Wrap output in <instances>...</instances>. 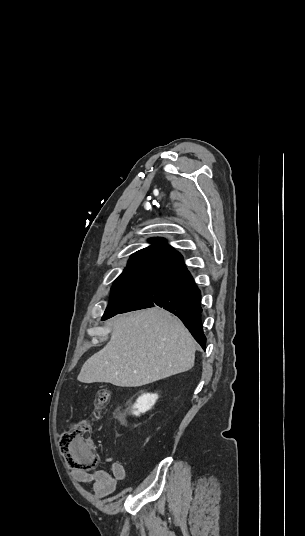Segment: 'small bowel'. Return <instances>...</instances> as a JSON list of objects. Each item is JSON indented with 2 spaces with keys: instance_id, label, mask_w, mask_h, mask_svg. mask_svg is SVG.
I'll list each match as a JSON object with an SVG mask.
<instances>
[{
  "instance_id": "c3829d8e",
  "label": "small bowel",
  "mask_w": 305,
  "mask_h": 536,
  "mask_svg": "<svg viewBox=\"0 0 305 536\" xmlns=\"http://www.w3.org/2000/svg\"><path fill=\"white\" fill-rule=\"evenodd\" d=\"M73 473L79 481L90 483L95 495L99 498L111 495L116 489L117 482L126 477L125 469L119 462H113L109 471L93 468L85 472L74 468Z\"/></svg>"
}]
</instances>
